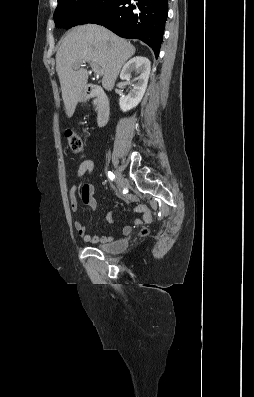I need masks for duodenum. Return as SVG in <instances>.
<instances>
[{
  "instance_id": "410a0bca",
  "label": "duodenum",
  "mask_w": 254,
  "mask_h": 397,
  "mask_svg": "<svg viewBox=\"0 0 254 397\" xmlns=\"http://www.w3.org/2000/svg\"><path fill=\"white\" fill-rule=\"evenodd\" d=\"M84 95L87 98H95L97 100V124L104 126L110 115V101L103 89L94 84H88L85 87Z\"/></svg>"
}]
</instances>
